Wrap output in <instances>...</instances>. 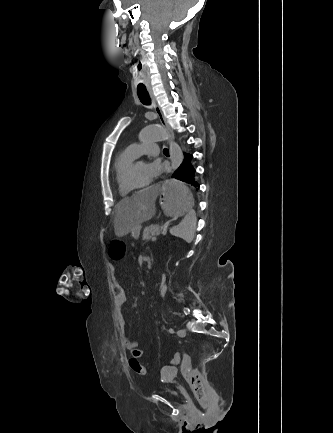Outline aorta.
<instances>
[{"instance_id": "aorta-1", "label": "aorta", "mask_w": 333, "mask_h": 433, "mask_svg": "<svg viewBox=\"0 0 333 433\" xmlns=\"http://www.w3.org/2000/svg\"><path fill=\"white\" fill-rule=\"evenodd\" d=\"M139 140L143 143H162L168 141L172 169L176 170L182 163L183 153L180 146L170 139L168 131L160 126H146L139 133Z\"/></svg>"}]
</instances>
